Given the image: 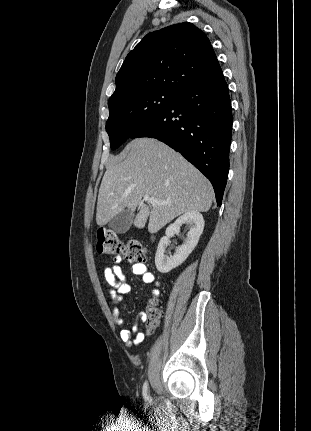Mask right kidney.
I'll return each mask as SVG.
<instances>
[{
    "mask_svg": "<svg viewBox=\"0 0 311 431\" xmlns=\"http://www.w3.org/2000/svg\"><path fill=\"white\" fill-rule=\"evenodd\" d=\"M182 223H188L190 231H188L184 243H182L180 247H177L174 255H170L169 257V255H165L164 253L169 237L174 235V233H179L180 225H182ZM203 227V216L200 212H197V210L186 212L183 216L178 217L174 223H171V225L166 229V235L161 237L155 253V265L158 271H161V273H168L170 269L183 263L189 253L193 251L195 245H197L198 239L203 231Z\"/></svg>",
    "mask_w": 311,
    "mask_h": 431,
    "instance_id": "obj_1",
    "label": "right kidney"
}]
</instances>
